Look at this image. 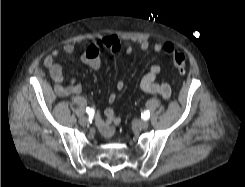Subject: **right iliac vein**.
Instances as JSON below:
<instances>
[{
  "mask_svg": "<svg viewBox=\"0 0 245 187\" xmlns=\"http://www.w3.org/2000/svg\"><path fill=\"white\" fill-rule=\"evenodd\" d=\"M79 123L82 125V126H86L88 124V119L86 117H81L79 119Z\"/></svg>",
  "mask_w": 245,
  "mask_h": 187,
  "instance_id": "obj_1",
  "label": "right iliac vein"
}]
</instances>
